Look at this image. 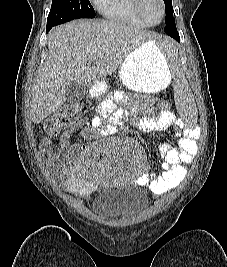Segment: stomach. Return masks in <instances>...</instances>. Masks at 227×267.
<instances>
[{
	"mask_svg": "<svg viewBox=\"0 0 227 267\" xmlns=\"http://www.w3.org/2000/svg\"><path fill=\"white\" fill-rule=\"evenodd\" d=\"M119 78L127 88L155 93L163 90L171 81V73L162 47H154V42L147 41L135 48L119 68ZM101 90H108V85H91L89 93L97 96Z\"/></svg>",
	"mask_w": 227,
	"mask_h": 267,
	"instance_id": "0dacf381",
	"label": "stomach"
}]
</instances>
